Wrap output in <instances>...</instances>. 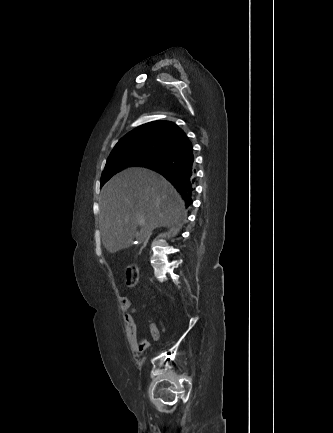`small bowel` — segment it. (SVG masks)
Returning <instances> with one entry per match:
<instances>
[{"label": "small bowel", "mask_w": 333, "mask_h": 433, "mask_svg": "<svg viewBox=\"0 0 333 433\" xmlns=\"http://www.w3.org/2000/svg\"><path fill=\"white\" fill-rule=\"evenodd\" d=\"M120 306L127 324V334L131 348L136 353H144L150 347V342L144 335L139 333L138 325L134 317L136 311L132 308L131 299L127 296H123L120 301ZM150 334L154 341H158L161 337L159 329L153 323L150 325Z\"/></svg>", "instance_id": "obj_1"}]
</instances>
